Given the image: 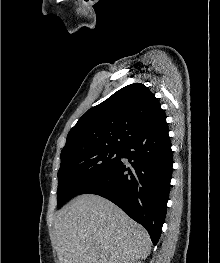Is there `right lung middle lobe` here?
Wrapping results in <instances>:
<instances>
[{
	"label": "right lung middle lobe",
	"mask_w": 220,
	"mask_h": 263,
	"mask_svg": "<svg viewBox=\"0 0 220 263\" xmlns=\"http://www.w3.org/2000/svg\"><path fill=\"white\" fill-rule=\"evenodd\" d=\"M122 154V148L105 147L71 151L61 155L58 171V208L103 176L120 161Z\"/></svg>",
	"instance_id": "right-lung-middle-lobe-1"
}]
</instances>
